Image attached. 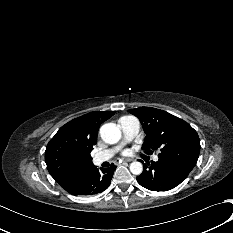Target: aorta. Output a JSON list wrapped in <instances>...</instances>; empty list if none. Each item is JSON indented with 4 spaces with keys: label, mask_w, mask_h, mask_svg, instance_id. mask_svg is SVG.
Returning <instances> with one entry per match:
<instances>
[{
    "label": "aorta",
    "mask_w": 233,
    "mask_h": 233,
    "mask_svg": "<svg viewBox=\"0 0 233 233\" xmlns=\"http://www.w3.org/2000/svg\"><path fill=\"white\" fill-rule=\"evenodd\" d=\"M100 135L104 142L115 144L121 138V131L116 124L107 123L101 126ZM130 171L134 175H140L143 171V165L138 161H134L130 164Z\"/></svg>",
    "instance_id": "obj_1"
}]
</instances>
